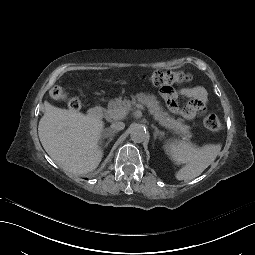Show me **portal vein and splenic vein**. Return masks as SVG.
<instances>
[{
  "mask_svg": "<svg viewBox=\"0 0 255 255\" xmlns=\"http://www.w3.org/2000/svg\"><path fill=\"white\" fill-rule=\"evenodd\" d=\"M134 108L138 111H141V112H146V107H143V105L141 103H136L134 105ZM124 114L126 115V110H124Z\"/></svg>",
  "mask_w": 255,
  "mask_h": 255,
  "instance_id": "18ae733b",
  "label": "portal vein and splenic vein"
}]
</instances>
